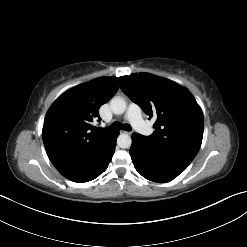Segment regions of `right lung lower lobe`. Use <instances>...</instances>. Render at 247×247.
Instances as JSON below:
<instances>
[{
	"instance_id": "obj_1",
	"label": "right lung lower lobe",
	"mask_w": 247,
	"mask_h": 247,
	"mask_svg": "<svg viewBox=\"0 0 247 247\" xmlns=\"http://www.w3.org/2000/svg\"><path fill=\"white\" fill-rule=\"evenodd\" d=\"M118 135L119 132H113L106 144L86 163L60 173L67 179L78 183L88 182L97 178L107 169L112 159Z\"/></svg>"
}]
</instances>
